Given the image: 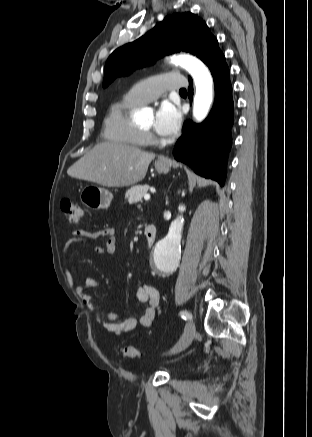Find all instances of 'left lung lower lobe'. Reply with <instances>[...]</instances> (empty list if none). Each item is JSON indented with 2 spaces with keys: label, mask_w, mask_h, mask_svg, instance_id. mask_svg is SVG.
Here are the masks:
<instances>
[{
  "label": "left lung lower lobe",
  "mask_w": 312,
  "mask_h": 437,
  "mask_svg": "<svg viewBox=\"0 0 312 437\" xmlns=\"http://www.w3.org/2000/svg\"><path fill=\"white\" fill-rule=\"evenodd\" d=\"M215 84L214 106L201 124L187 121L173 154L206 178L225 183L226 163L231 147L230 129L233 124L232 86L225 57L219 52L208 65ZM192 99V90H190Z\"/></svg>",
  "instance_id": "0a47b994"
}]
</instances>
